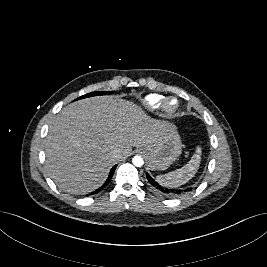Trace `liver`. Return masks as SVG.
<instances>
[{"mask_svg":"<svg viewBox=\"0 0 267 267\" xmlns=\"http://www.w3.org/2000/svg\"><path fill=\"white\" fill-rule=\"evenodd\" d=\"M164 122L137 104L113 96L83 99L64 107L45 140L46 168L58 187L71 194L99 188L112 166L159 140ZM120 149L119 157L113 151Z\"/></svg>","mask_w":267,"mask_h":267,"instance_id":"obj_1","label":"liver"}]
</instances>
